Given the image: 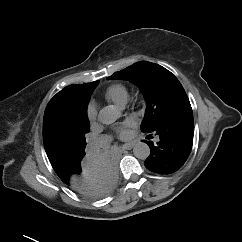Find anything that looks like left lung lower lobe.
Masks as SVG:
<instances>
[{
    "mask_svg": "<svg viewBox=\"0 0 242 242\" xmlns=\"http://www.w3.org/2000/svg\"><path fill=\"white\" fill-rule=\"evenodd\" d=\"M193 126L192 108H184L150 131L156 133L160 141L156 146L148 141L151 154L144 162L146 168L162 175L172 174L179 170L191 152Z\"/></svg>",
    "mask_w": 242,
    "mask_h": 242,
    "instance_id": "obj_1",
    "label": "left lung lower lobe"
}]
</instances>
